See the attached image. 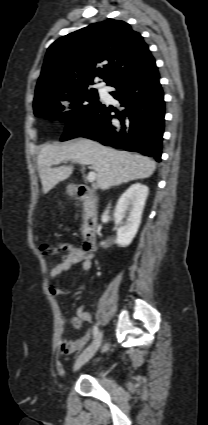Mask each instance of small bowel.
Listing matches in <instances>:
<instances>
[{"mask_svg":"<svg viewBox=\"0 0 208 425\" xmlns=\"http://www.w3.org/2000/svg\"><path fill=\"white\" fill-rule=\"evenodd\" d=\"M59 249L65 251L66 253L62 257V260L51 269V278H57L62 273L69 271L75 264H80L84 271H88L92 268L91 255L86 254L81 248L75 247L71 244L63 243L59 245ZM49 292L53 296H63L69 293V291L58 286H50ZM91 320V315L85 310V308L79 307L76 311V317L68 318L64 321V323L71 328L79 329L81 328L82 323L91 322ZM90 336V332L86 331L78 339L61 340V352L65 355H70L81 350L88 343Z\"/></svg>","mask_w":208,"mask_h":425,"instance_id":"1","label":"small bowel"}]
</instances>
